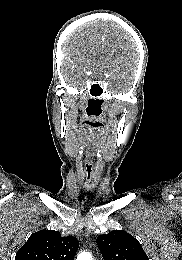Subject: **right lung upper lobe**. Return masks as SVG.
<instances>
[{
    "instance_id": "right-lung-upper-lobe-1",
    "label": "right lung upper lobe",
    "mask_w": 182,
    "mask_h": 260,
    "mask_svg": "<svg viewBox=\"0 0 182 260\" xmlns=\"http://www.w3.org/2000/svg\"><path fill=\"white\" fill-rule=\"evenodd\" d=\"M78 247L75 237H62L58 231L41 230L29 237L15 260H73Z\"/></svg>"
}]
</instances>
